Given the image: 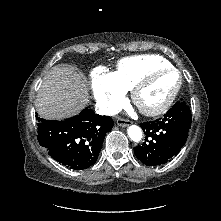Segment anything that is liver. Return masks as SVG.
I'll use <instances>...</instances> for the list:
<instances>
[{
	"instance_id": "liver-1",
	"label": "liver",
	"mask_w": 221,
	"mask_h": 221,
	"mask_svg": "<svg viewBox=\"0 0 221 221\" xmlns=\"http://www.w3.org/2000/svg\"><path fill=\"white\" fill-rule=\"evenodd\" d=\"M88 98V86L81 73L73 67L55 66L42 82L35 106L42 118L64 119L79 113Z\"/></svg>"
}]
</instances>
